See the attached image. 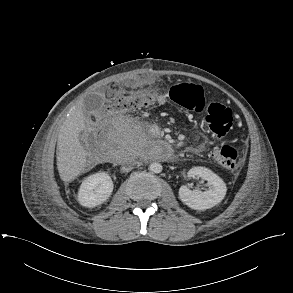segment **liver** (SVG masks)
Segmentation results:
<instances>
[{"label": "liver", "instance_id": "obj_1", "mask_svg": "<svg viewBox=\"0 0 293 293\" xmlns=\"http://www.w3.org/2000/svg\"><path fill=\"white\" fill-rule=\"evenodd\" d=\"M84 129L85 117L80 103L70 111L58 135L57 169L64 182L74 180L85 169L87 152L79 140V134Z\"/></svg>", "mask_w": 293, "mask_h": 293}]
</instances>
